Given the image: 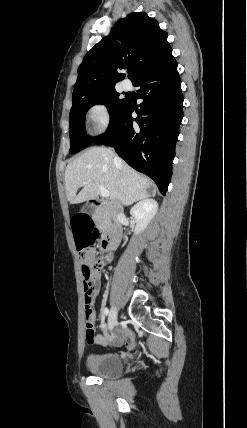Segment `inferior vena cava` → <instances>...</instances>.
<instances>
[{
  "mask_svg": "<svg viewBox=\"0 0 247 428\" xmlns=\"http://www.w3.org/2000/svg\"><path fill=\"white\" fill-rule=\"evenodd\" d=\"M114 160H115L116 163H120L121 162L120 158H118L117 156L115 157Z\"/></svg>",
  "mask_w": 247,
  "mask_h": 428,
  "instance_id": "602c4592",
  "label": "inferior vena cava"
}]
</instances>
